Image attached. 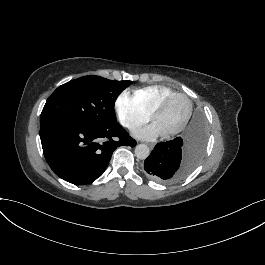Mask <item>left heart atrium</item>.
I'll return each mask as SVG.
<instances>
[{"label":"left heart atrium","instance_id":"39dd6f15","mask_svg":"<svg viewBox=\"0 0 265 265\" xmlns=\"http://www.w3.org/2000/svg\"><path fill=\"white\" fill-rule=\"evenodd\" d=\"M161 133L160 129L157 127L156 124L150 125L143 129L142 131L138 132L137 135L142 138H153L158 136Z\"/></svg>","mask_w":265,"mask_h":265}]
</instances>
